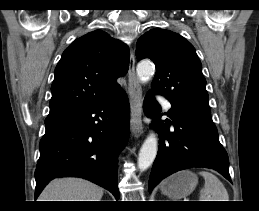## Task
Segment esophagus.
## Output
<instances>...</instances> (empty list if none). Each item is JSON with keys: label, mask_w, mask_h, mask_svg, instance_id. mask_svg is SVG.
I'll return each instance as SVG.
<instances>
[{"label": "esophagus", "mask_w": 259, "mask_h": 211, "mask_svg": "<svg viewBox=\"0 0 259 211\" xmlns=\"http://www.w3.org/2000/svg\"><path fill=\"white\" fill-rule=\"evenodd\" d=\"M128 86L130 94L131 120L130 129L134 136H139L143 132L142 123V89L135 72V56L130 53L128 69Z\"/></svg>", "instance_id": "obj_1"}]
</instances>
